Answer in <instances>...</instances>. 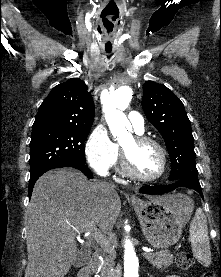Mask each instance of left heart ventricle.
<instances>
[{"instance_id": "b2bd125f", "label": "left heart ventricle", "mask_w": 221, "mask_h": 277, "mask_svg": "<svg viewBox=\"0 0 221 277\" xmlns=\"http://www.w3.org/2000/svg\"><path fill=\"white\" fill-rule=\"evenodd\" d=\"M131 158L133 168L142 176H155L161 168V156L157 148L147 144L136 146L133 138L122 143Z\"/></svg>"}]
</instances>
